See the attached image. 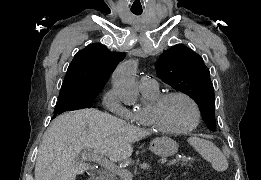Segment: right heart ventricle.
<instances>
[{
    "mask_svg": "<svg viewBox=\"0 0 261 180\" xmlns=\"http://www.w3.org/2000/svg\"><path fill=\"white\" fill-rule=\"evenodd\" d=\"M144 100L146 102V107L148 106L149 102L158 95L157 89L152 90V91H142Z\"/></svg>",
    "mask_w": 261,
    "mask_h": 180,
    "instance_id": "right-heart-ventricle-1",
    "label": "right heart ventricle"
}]
</instances>
